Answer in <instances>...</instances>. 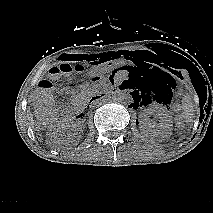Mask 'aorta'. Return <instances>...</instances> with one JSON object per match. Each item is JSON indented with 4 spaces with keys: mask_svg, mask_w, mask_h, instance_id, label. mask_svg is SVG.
<instances>
[{
    "mask_svg": "<svg viewBox=\"0 0 213 213\" xmlns=\"http://www.w3.org/2000/svg\"><path fill=\"white\" fill-rule=\"evenodd\" d=\"M125 99V95L120 91H115L110 96V101L114 102L115 104H120Z\"/></svg>",
    "mask_w": 213,
    "mask_h": 213,
    "instance_id": "762f6f07",
    "label": "aorta"
}]
</instances>
